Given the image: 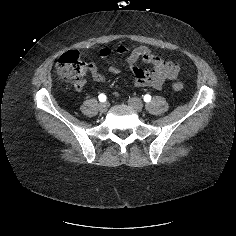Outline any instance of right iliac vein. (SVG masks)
I'll return each mask as SVG.
<instances>
[{
  "mask_svg": "<svg viewBox=\"0 0 236 236\" xmlns=\"http://www.w3.org/2000/svg\"><path fill=\"white\" fill-rule=\"evenodd\" d=\"M99 110H100L101 112H106V111L108 110V103H101V104L99 105Z\"/></svg>",
  "mask_w": 236,
  "mask_h": 236,
  "instance_id": "obj_1",
  "label": "right iliac vein"
}]
</instances>
